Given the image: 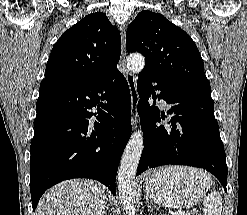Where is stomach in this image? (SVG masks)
Instances as JSON below:
<instances>
[{"instance_id":"obj_1","label":"stomach","mask_w":247,"mask_h":215,"mask_svg":"<svg viewBox=\"0 0 247 215\" xmlns=\"http://www.w3.org/2000/svg\"><path fill=\"white\" fill-rule=\"evenodd\" d=\"M207 175L187 167H164L145 179L146 195L167 208H187L196 204L210 187Z\"/></svg>"}]
</instances>
